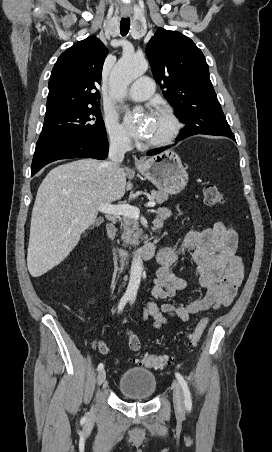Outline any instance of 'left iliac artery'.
<instances>
[{
    "instance_id": "1",
    "label": "left iliac artery",
    "mask_w": 272,
    "mask_h": 452,
    "mask_svg": "<svg viewBox=\"0 0 272 452\" xmlns=\"http://www.w3.org/2000/svg\"><path fill=\"white\" fill-rule=\"evenodd\" d=\"M134 301H135V297H131V303H134ZM175 376H176L178 382L180 383V385H181V387L183 389L186 409L188 411H191V409H192V398H191V393H190V390L188 388L187 382L185 381V379L183 378V376L179 372H176Z\"/></svg>"
}]
</instances>
